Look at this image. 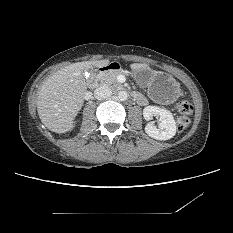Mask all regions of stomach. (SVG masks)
<instances>
[{"mask_svg":"<svg viewBox=\"0 0 233 233\" xmlns=\"http://www.w3.org/2000/svg\"><path fill=\"white\" fill-rule=\"evenodd\" d=\"M137 82L146 87L149 96L160 103L174 102L181 94L180 84L168 73L150 68L132 69Z\"/></svg>","mask_w":233,"mask_h":233,"instance_id":"1","label":"stomach"}]
</instances>
